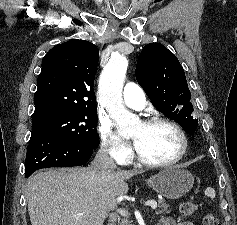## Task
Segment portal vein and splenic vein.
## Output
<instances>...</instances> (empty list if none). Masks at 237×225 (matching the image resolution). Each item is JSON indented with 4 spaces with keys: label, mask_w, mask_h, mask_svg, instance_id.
Returning <instances> with one entry per match:
<instances>
[{
    "label": "portal vein and splenic vein",
    "mask_w": 237,
    "mask_h": 225,
    "mask_svg": "<svg viewBox=\"0 0 237 225\" xmlns=\"http://www.w3.org/2000/svg\"><path fill=\"white\" fill-rule=\"evenodd\" d=\"M145 206H150L152 209H155L157 207V202L154 200H148L145 202ZM117 212L124 217L129 216V213L125 209H117Z\"/></svg>",
    "instance_id": "1"
}]
</instances>
